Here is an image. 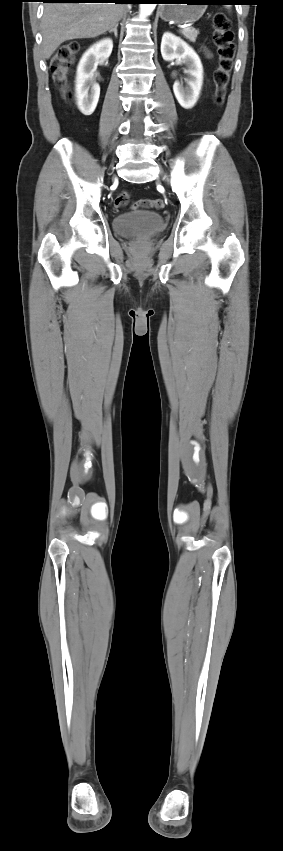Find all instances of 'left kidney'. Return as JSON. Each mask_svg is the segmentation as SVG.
I'll return each instance as SVG.
<instances>
[{
	"label": "left kidney",
	"instance_id": "5707ae66",
	"mask_svg": "<svg viewBox=\"0 0 283 851\" xmlns=\"http://www.w3.org/2000/svg\"><path fill=\"white\" fill-rule=\"evenodd\" d=\"M161 54L165 61L178 60L185 65L186 85L176 81L173 91L179 104L185 109H191L196 104L203 84V66L196 52L181 38L166 32L162 36Z\"/></svg>",
	"mask_w": 283,
	"mask_h": 851
}]
</instances>
